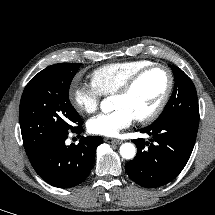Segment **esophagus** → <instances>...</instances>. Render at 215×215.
Segmentation results:
<instances>
[{
  "label": "esophagus",
  "mask_w": 215,
  "mask_h": 215,
  "mask_svg": "<svg viewBox=\"0 0 215 215\" xmlns=\"http://www.w3.org/2000/svg\"><path fill=\"white\" fill-rule=\"evenodd\" d=\"M104 140H105V142L111 143V144H121L122 143V141L119 139H114V138H109V137L105 138Z\"/></svg>",
  "instance_id": "obj_1"
}]
</instances>
